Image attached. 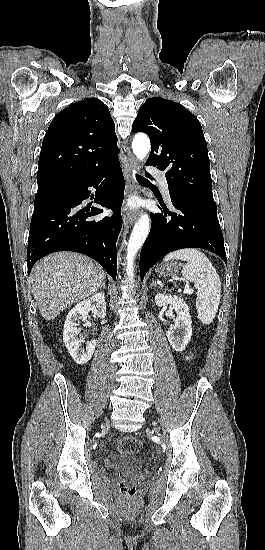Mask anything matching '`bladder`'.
Listing matches in <instances>:
<instances>
[{
	"label": "bladder",
	"mask_w": 265,
	"mask_h": 550,
	"mask_svg": "<svg viewBox=\"0 0 265 550\" xmlns=\"http://www.w3.org/2000/svg\"><path fill=\"white\" fill-rule=\"evenodd\" d=\"M145 465L143 456L130 452H111L104 460V467L107 470L136 471L143 469Z\"/></svg>",
	"instance_id": "1"
}]
</instances>
